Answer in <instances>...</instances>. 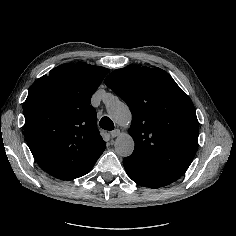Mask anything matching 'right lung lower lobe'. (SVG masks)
<instances>
[{
    "mask_svg": "<svg viewBox=\"0 0 236 236\" xmlns=\"http://www.w3.org/2000/svg\"><path fill=\"white\" fill-rule=\"evenodd\" d=\"M94 164H95V163H94ZM94 164L91 165L88 169H86V170L84 171V173H83L81 176L87 174V173L92 169V167L94 166ZM81 176H79V177H81Z\"/></svg>",
    "mask_w": 236,
    "mask_h": 236,
    "instance_id": "obj_1",
    "label": "right lung lower lobe"
}]
</instances>
